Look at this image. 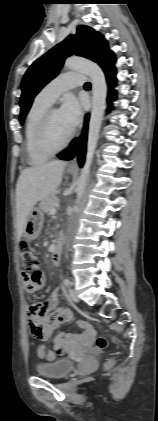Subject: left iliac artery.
Here are the masks:
<instances>
[{"instance_id": "left-iliac-artery-1", "label": "left iliac artery", "mask_w": 158, "mask_h": 421, "mask_svg": "<svg viewBox=\"0 0 158 421\" xmlns=\"http://www.w3.org/2000/svg\"><path fill=\"white\" fill-rule=\"evenodd\" d=\"M63 283H64V285H66V286H70V285H71V282H70V280H69V279H64Z\"/></svg>"}]
</instances>
